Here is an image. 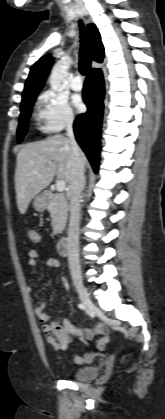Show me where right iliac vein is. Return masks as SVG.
<instances>
[{"label": "right iliac vein", "instance_id": "obj_1", "mask_svg": "<svg viewBox=\"0 0 165 419\" xmlns=\"http://www.w3.org/2000/svg\"><path fill=\"white\" fill-rule=\"evenodd\" d=\"M74 286L76 288V291L80 297V300L84 306V308L86 309V311L89 313L94 305L89 297V294L82 282V280L80 278H75L74 279Z\"/></svg>", "mask_w": 165, "mask_h": 419}]
</instances>
